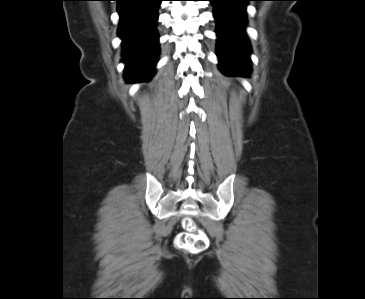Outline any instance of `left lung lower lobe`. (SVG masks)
<instances>
[{"label": "left lung lower lobe", "mask_w": 365, "mask_h": 299, "mask_svg": "<svg viewBox=\"0 0 365 299\" xmlns=\"http://www.w3.org/2000/svg\"><path fill=\"white\" fill-rule=\"evenodd\" d=\"M217 21V52L221 71L227 76H247L250 44L245 34V7L252 0H209Z\"/></svg>", "instance_id": "1"}]
</instances>
